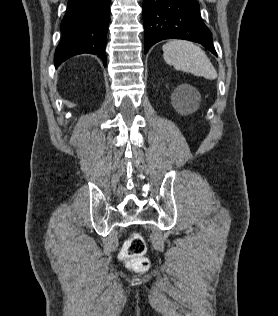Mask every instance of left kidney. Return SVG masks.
<instances>
[{
    "label": "left kidney",
    "instance_id": "left-kidney-1",
    "mask_svg": "<svg viewBox=\"0 0 278 316\" xmlns=\"http://www.w3.org/2000/svg\"><path fill=\"white\" fill-rule=\"evenodd\" d=\"M198 92L190 85H181L174 92V99L178 103H187L197 97Z\"/></svg>",
    "mask_w": 278,
    "mask_h": 316
}]
</instances>
